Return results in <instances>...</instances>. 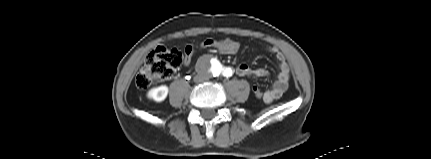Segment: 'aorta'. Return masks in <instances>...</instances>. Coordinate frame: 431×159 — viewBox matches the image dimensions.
Segmentation results:
<instances>
[{
    "instance_id": "obj_1",
    "label": "aorta",
    "mask_w": 431,
    "mask_h": 159,
    "mask_svg": "<svg viewBox=\"0 0 431 159\" xmlns=\"http://www.w3.org/2000/svg\"><path fill=\"white\" fill-rule=\"evenodd\" d=\"M221 71H222V66L219 64L207 67V72L213 76H219L221 74Z\"/></svg>"
}]
</instances>
